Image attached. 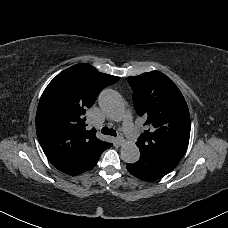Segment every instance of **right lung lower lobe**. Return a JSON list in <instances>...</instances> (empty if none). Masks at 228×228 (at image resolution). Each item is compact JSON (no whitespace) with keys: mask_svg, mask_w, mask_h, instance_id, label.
<instances>
[{"mask_svg":"<svg viewBox=\"0 0 228 228\" xmlns=\"http://www.w3.org/2000/svg\"><path fill=\"white\" fill-rule=\"evenodd\" d=\"M112 146L111 143H108L106 147L94 151H90L86 153L85 155L81 156L80 158L76 159L69 165L63 167L62 169H59L60 171L69 174V175H75L82 172H85L92 167H94L101 155V153L110 148Z\"/></svg>","mask_w":228,"mask_h":228,"instance_id":"1","label":"right lung lower lobe"}]
</instances>
